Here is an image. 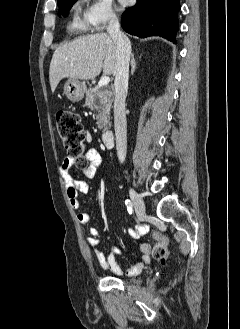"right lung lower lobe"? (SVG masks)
<instances>
[{
    "label": "right lung lower lobe",
    "mask_w": 240,
    "mask_h": 329,
    "mask_svg": "<svg viewBox=\"0 0 240 329\" xmlns=\"http://www.w3.org/2000/svg\"><path fill=\"white\" fill-rule=\"evenodd\" d=\"M179 0H137L122 16L123 29L138 37L162 36L175 42Z\"/></svg>",
    "instance_id": "right-lung-lower-lobe-1"
}]
</instances>
